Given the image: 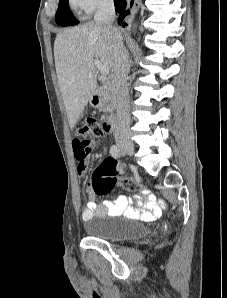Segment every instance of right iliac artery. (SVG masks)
I'll return each instance as SVG.
<instances>
[{
  "label": "right iliac artery",
  "instance_id": "1",
  "mask_svg": "<svg viewBox=\"0 0 227 298\" xmlns=\"http://www.w3.org/2000/svg\"><path fill=\"white\" fill-rule=\"evenodd\" d=\"M110 154L114 157V158H118L120 156V152L119 149L117 148L116 145H112L110 148Z\"/></svg>",
  "mask_w": 227,
  "mask_h": 298
}]
</instances>
